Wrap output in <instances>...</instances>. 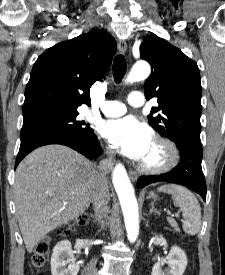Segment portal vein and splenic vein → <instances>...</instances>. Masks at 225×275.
Here are the masks:
<instances>
[{
  "label": "portal vein and splenic vein",
  "mask_w": 225,
  "mask_h": 275,
  "mask_svg": "<svg viewBox=\"0 0 225 275\" xmlns=\"http://www.w3.org/2000/svg\"><path fill=\"white\" fill-rule=\"evenodd\" d=\"M170 216H172V217H173V216H178V215H170Z\"/></svg>",
  "instance_id": "obj_1"
}]
</instances>
